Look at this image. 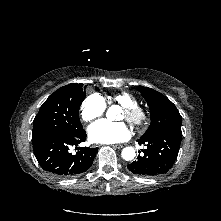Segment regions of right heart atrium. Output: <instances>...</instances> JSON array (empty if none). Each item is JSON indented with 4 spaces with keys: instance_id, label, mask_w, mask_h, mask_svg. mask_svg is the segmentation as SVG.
Returning <instances> with one entry per match:
<instances>
[{
    "instance_id": "right-heart-atrium-1",
    "label": "right heart atrium",
    "mask_w": 221,
    "mask_h": 221,
    "mask_svg": "<svg viewBox=\"0 0 221 221\" xmlns=\"http://www.w3.org/2000/svg\"><path fill=\"white\" fill-rule=\"evenodd\" d=\"M106 110L104 99L98 94L88 95L80 106V116L84 122H92L102 116Z\"/></svg>"
}]
</instances>
